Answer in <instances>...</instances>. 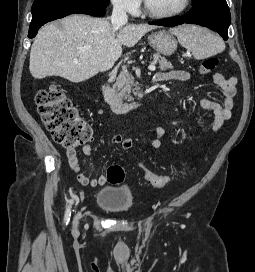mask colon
<instances>
[{
	"label": "colon",
	"mask_w": 255,
	"mask_h": 272,
	"mask_svg": "<svg viewBox=\"0 0 255 272\" xmlns=\"http://www.w3.org/2000/svg\"><path fill=\"white\" fill-rule=\"evenodd\" d=\"M218 65V59L214 56L205 58L199 67V73L206 75ZM35 103L38 114L51 133L53 139L66 150H75L82 144L92 139L91 126L81 120L71 102L65 97L63 91L56 85L37 92ZM110 183L117 184L124 180L125 172L118 164H111L107 172ZM147 182L153 187L167 185L171 178L166 175H157L148 170L145 171Z\"/></svg>",
	"instance_id": "5ec220e1"
}]
</instances>
